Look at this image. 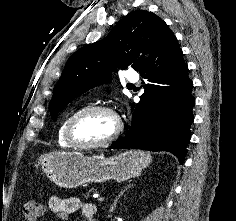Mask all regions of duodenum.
<instances>
[{
    "label": "duodenum",
    "instance_id": "duodenum-1",
    "mask_svg": "<svg viewBox=\"0 0 236 221\" xmlns=\"http://www.w3.org/2000/svg\"><path fill=\"white\" fill-rule=\"evenodd\" d=\"M89 221H96V220H95V218L92 217L89 219Z\"/></svg>",
    "mask_w": 236,
    "mask_h": 221
}]
</instances>
